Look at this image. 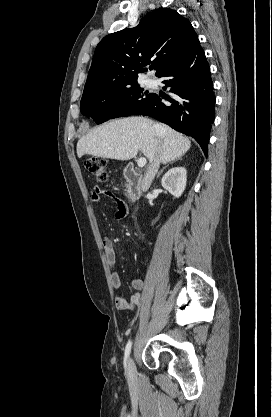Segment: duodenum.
I'll return each instance as SVG.
<instances>
[{
	"label": "duodenum",
	"instance_id": "obj_1",
	"mask_svg": "<svg viewBox=\"0 0 272 417\" xmlns=\"http://www.w3.org/2000/svg\"><path fill=\"white\" fill-rule=\"evenodd\" d=\"M124 177L128 182V199L133 202L140 197L143 186V175L140 171L132 164H127L123 170Z\"/></svg>",
	"mask_w": 272,
	"mask_h": 417
}]
</instances>
